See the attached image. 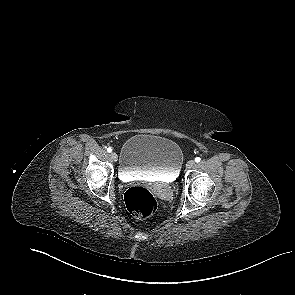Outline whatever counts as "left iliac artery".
I'll return each instance as SVG.
<instances>
[{"label": "left iliac artery", "instance_id": "44dca946", "mask_svg": "<svg viewBox=\"0 0 295 295\" xmlns=\"http://www.w3.org/2000/svg\"><path fill=\"white\" fill-rule=\"evenodd\" d=\"M200 160H201V159H200L199 157H196V158H195V162H197V163L200 162Z\"/></svg>", "mask_w": 295, "mask_h": 295}]
</instances>
